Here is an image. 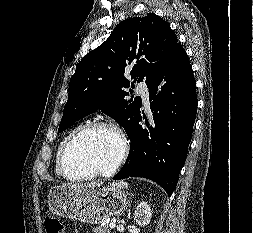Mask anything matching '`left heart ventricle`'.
<instances>
[{"label": "left heart ventricle", "instance_id": "left-heart-ventricle-1", "mask_svg": "<svg viewBox=\"0 0 253 233\" xmlns=\"http://www.w3.org/2000/svg\"><path fill=\"white\" fill-rule=\"evenodd\" d=\"M120 153L118 137L104 129L90 131L80 137L67 155L68 173L83 175L93 170H108Z\"/></svg>", "mask_w": 253, "mask_h": 233}]
</instances>
